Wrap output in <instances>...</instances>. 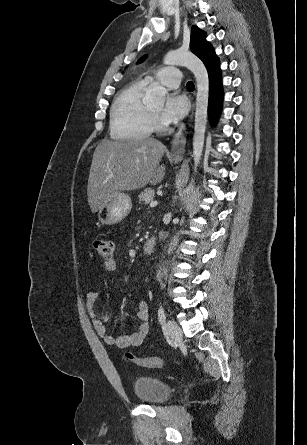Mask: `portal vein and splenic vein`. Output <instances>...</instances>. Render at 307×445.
Segmentation results:
<instances>
[{
  "label": "portal vein and splenic vein",
  "instance_id": "18ae733b",
  "mask_svg": "<svg viewBox=\"0 0 307 445\" xmlns=\"http://www.w3.org/2000/svg\"><path fill=\"white\" fill-rule=\"evenodd\" d=\"M158 202L157 200H151L150 206H157Z\"/></svg>",
  "mask_w": 307,
  "mask_h": 445
}]
</instances>
